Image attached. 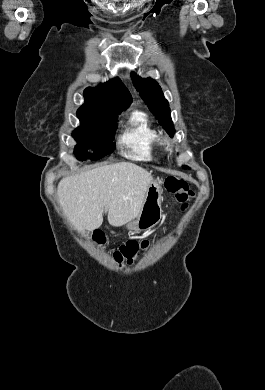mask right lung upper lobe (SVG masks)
Wrapping results in <instances>:
<instances>
[{
  "mask_svg": "<svg viewBox=\"0 0 265 390\" xmlns=\"http://www.w3.org/2000/svg\"><path fill=\"white\" fill-rule=\"evenodd\" d=\"M85 103L79 109L117 116L132 103V96L120 80H109L84 91Z\"/></svg>",
  "mask_w": 265,
  "mask_h": 390,
  "instance_id": "right-lung-upper-lobe-1",
  "label": "right lung upper lobe"
}]
</instances>
